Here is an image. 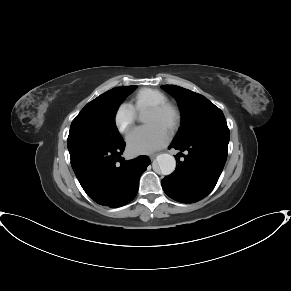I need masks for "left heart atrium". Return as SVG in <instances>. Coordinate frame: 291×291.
Segmentation results:
<instances>
[{"mask_svg":"<svg viewBox=\"0 0 291 291\" xmlns=\"http://www.w3.org/2000/svg\"><path fill=\"white\" fill-rule=\"evenodd\" d=\"M169 140L167 130L148 124L133 130L127 137V147L132 154H146L162 148Z\"/></svg>","mask_w":291,"mask_h":291,"instance_id":"39dd6f15","label":"left heart atrium"}]
</instances>
